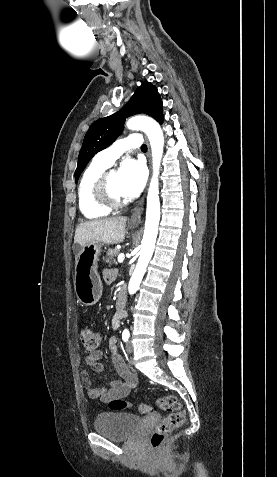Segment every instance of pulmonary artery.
<instances>
[{
    "mask_svg": "<svg viewBox=\"0 0 277 477\" xmlns=\"http://www.w3.org/2000/svg\"><path fill=\"white\" fill-rule=\"evenodd\" d=\"M142 138L139 134H132L115 142L112 146L99 152L95 160L107 167L111 166L115 160L126 150L141 146Z\"/></svg>",
    "mask_w": 277,
    "mask_h": 477,
    "instance_id": "1",
    "label": "pulmonary artery"
}]
</instances>
